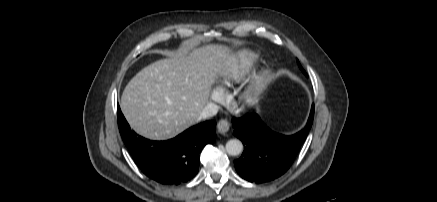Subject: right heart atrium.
Returning <instances> with one entry per match:
<instances>
[{
    "instance_id": "right-heart-atrium-1",
    "label": "right heart atrium",
    "mask_w": 437,
    "mask_h": 202,
    "mask_svg": "<svg viewBox=\"0 0 437 202\" xmlns=\"http://www.w3.org/2000/svg\"><path fill=\"white\" fill-rule=\"evenodd\" d=\"M212 97H213L214 100L219 101V100L222 99V94H221L219 91H215V92L213 93Z\"/></svg>"
}]
</instances>
